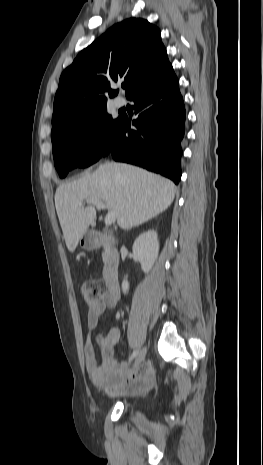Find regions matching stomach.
I'll list each match as a JSON object with an SVG mask.
<instances>
[{"label":"stomach","mask_w":263,"mask_h":465,"mask_svg":"<svg viewBox=\"0 0 263 465\" xmlns=\"http://www.w3.org/2000/svg\"><path fill=\"white\" fill-rule=\"evenodd\" d=\"M79 244L83 249L93 250L98 245V239L95 233L87 231L79 240Z\"/></svg>","instance_id":"0dacf381"}]
</instances>
